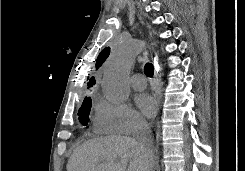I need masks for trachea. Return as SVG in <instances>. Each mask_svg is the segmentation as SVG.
I'll return each mask as SVG.
<instances>
[{"instance_id":"3493384b","label":"trachea","mask_w":245,"mask_h":171,"mask_svg":"<svg viewBox=\"0 0 245 171\" xmlns=\"http://www.w3.org/2000/svg\"><path fill=\"white\" fill-rule=\"evenodd\" d=\"M144 73L148 77H152L154 74V67L151 63H146L144 66Z\"/></svg>"}]
</instances>
